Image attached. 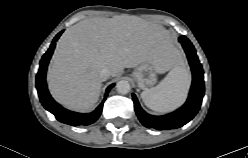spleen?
Instances as JSON below:
<instances>
[{"instance_id": "1", "label": "spleen", "mask_w": 248, "mask_h": 158, "mask_svg": "<svg viewBox=\"0 0 248 158\" xmlns=\"http://www.w3.org/2000/svg\"><path fill=\"white\" fill-rule=\"evenodd\" d=\"M191 76L183 61L178 60L167 76L156 86L141 93L144 104L164 113L180 107L188 94Z\"/></svg>"}]
</instances>
